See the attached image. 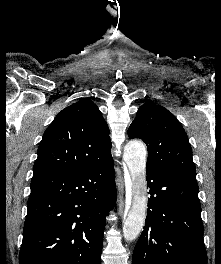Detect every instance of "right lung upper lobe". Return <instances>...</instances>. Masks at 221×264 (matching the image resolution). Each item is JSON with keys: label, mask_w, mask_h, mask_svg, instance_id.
I'll return each instance as SVG.
<instances>
[{"label": "right lung upper lobe", "mask_w": 221, "mask_h": 264, "mask_svg": "<svg viewBox=\"0 0 221 264\" xmlns=\"http://www.w3.org/2000/svg\"><path fill=\"white\" fill-rule=\"evenodd\" d=\"M111 146L98 107L82 99L63 109L44 132L32 179L99 165L112 157Z\"/></svg>", "instance_id": "1"}]
</instances>
